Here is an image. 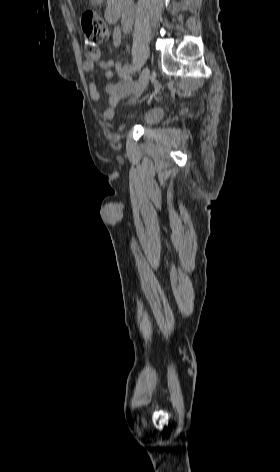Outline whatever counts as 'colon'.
Listing matches in <instances>:
<instances>
[{"mask_svg": "<svg viewBox=\"0 0 280 472\" xmlns=\"http://www.w3.org/2000/svg\"><path fill=\"white\" fill-rule=\"evenodd\" d=\"M80 24L84 33L85 54L91 58L98 54L101 43L107 39L109 29L107 25L92 11H83Z\"/></svg>", "mask_w": 280, "mask_h": 472, "instance_id": "5ec220e1", "label": "colon"}]
</instances>
